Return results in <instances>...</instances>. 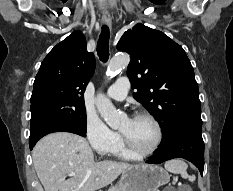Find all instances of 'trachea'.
I'll list each match as a JSON object with an SVG mask.
<instances>
[{
	"instance_id": "trachea-1",
	"label": "trachea",
	"mask_w": 233,
	"mask_h": 191,
	"mask_svg": "<svg viewBox=\"0 0 233 191\" xmlns=\"http://www.w3.org/2000/svg\"><path fill=\"white\" fill-rule=\"evenodd\" d=\"M109 36V28L103 25L97 43V54L102 62H107L109 59Z\"/></svg>"
}]
</instances>
